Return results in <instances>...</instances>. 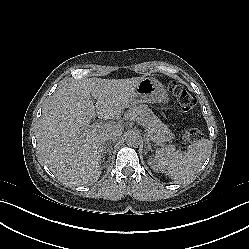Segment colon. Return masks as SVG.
<instances>
[{"mask_svg":"<svg viewBox=\"0 0 249 249\" xmlns=\"http://www.w3.org/2000/svg\"><path fill=\"white\" fill-rule=\"evenodd\" d=\"M170 93L175 99L178 107L184 112H192L196 105V98L190 94L183 86L177 84L175 81L166 82ZM201 137V132L197 128L189 129L186 132V139L190 142L197 141Z\"/></svg>","mask_w":249,"mask_h":249,"instance_id":"colon-1","label":"colon"}]
</instances>
